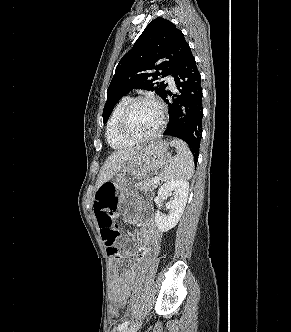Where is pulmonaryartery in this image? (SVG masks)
<instances>
[{
    "mask_svg": "<svg viewBox=\"0 0 291 332\" xmlns=\"http://www.w3.org/2000/svg\"><path fill=\"white\" fill-rule=\"evenodd\" d=\"M167 81L172 88L175 86L174 78L172 76H167Z\"/></svg>",
    "mask_w": 291,
    "mask_h": 332,
    "instance_id": "e3ab8cb5",
    "label": "pulmonary artery"
}]
</instances>
